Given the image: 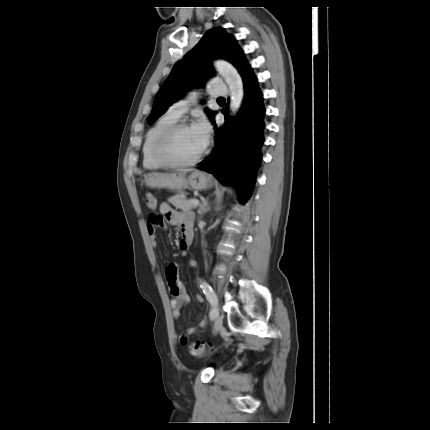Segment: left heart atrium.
<instances>
[{
  "instance_id": "left-heart-atrium-1",
  "label": "left heart atrium",
  "mask_w": 430,
  "mask_h": 430,
  "mask_svg": "<svg viewBox=\"0 0 430 430\" xmlns=\"http://www.w3.org/2000/svg\"><path fill=\"white\" fill-rule=\"evenodd\" d=\"M191 128L201 147L206 148L211 137V127L208 121L205 118H201Z\"/></svg>"
}]
</instances>
